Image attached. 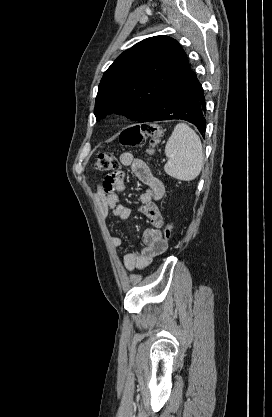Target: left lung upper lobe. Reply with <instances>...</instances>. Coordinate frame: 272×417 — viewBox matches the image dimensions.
Listing matches in <instances>:
<instances>
[{
  "mask_svg": "<svg viewBox=\"0 0 272 417\" xmlns=\"http://www.w3.org/2000/svg\"><path fill=\"white\" fill-rule=\"evenodd\" d=\"M188 65L186 53L173 38L154 36L135 44L104 73L96 119L116 112L142 122Z\"/></svg>",
  "mask_w": 272,
  "mask_h": 417,
  "instance_id": "1",
  "label": "left lung upper lobe"
}]
</instances>
